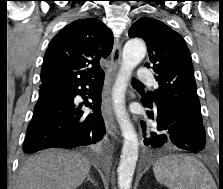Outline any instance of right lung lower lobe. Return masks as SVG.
Listing matches in <instances>:
<instances>
[{
  "instance_id": "right-lung-lower-lobe-1",
  "label": "right lung lower lobe",
  "mask_w": 223,
  "mask_h": 189,
  "mask_svg": "<svg viewBox=\"0 0 223 189\" xmlns=\"http://www.w3.org/2000/svg\"><path fill=\"white\" fill-rule=\"evenodd\" d=\"M103 75L93 82L70 86L40 89L34 114L27 128L23 144L24 153L58 147L76 148L99 142L105 133V124L99 110ZM89 86V89L86 87ZM92 102L85 105L94 108L84 114L74 102L77 95H90Z\"/></svg>"
}]
</instances>
